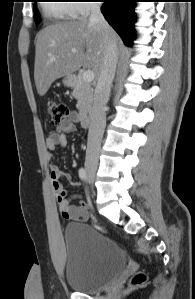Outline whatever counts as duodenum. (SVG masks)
<instances>
[{
    "instance_id": "obj_1",
    "label": "duodenum",
    "mask_w": 195,
    "mask_h": 299,
    "mask_svg": "<svg viewBox=\"0 0 195 299\" xmlns=\"http://www.w3.org/2000/svg\"><path fill=\"white\" fill-rule=\"evenodd\" d=\"M76 82H77L76 77L72 76L71 77V84L74 85V84H76ZM78 118L80 120L81 125L84 126V127H88L92 123V118H91L90 114H84V113H82V114H80L78 116Z\"/></svg>"
}]
</instances>
